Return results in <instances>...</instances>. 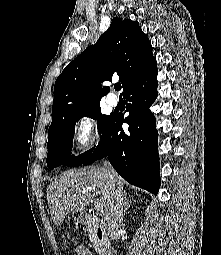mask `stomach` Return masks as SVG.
Here are the masks:
<instances>
[{
	"mask_svg": "<svg viewBox=\"0 0 221 255\" xmlns=\"http://www.w3.org/2000/svg\"><path fill=\"white\" fill-rule=\"evenodd\" d=\"M73 215L75 216V218H77V220L80 219V215H77L76 213H73Z\"/></svg>",
	"mask_w": 221,
	"mask_h": 255,
	"instance_id": "0dacf381",
	"label": "stomach"
}]
</instances>
